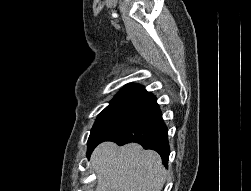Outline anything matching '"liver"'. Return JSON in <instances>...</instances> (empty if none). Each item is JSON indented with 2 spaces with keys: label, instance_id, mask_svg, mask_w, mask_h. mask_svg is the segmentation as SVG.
Here are the masks:
<instances>
[{
  "label": "liver",
  "instance_id": "liver-1",
  "mask_svg": "<svg viewBox=\"0 0 251 191\" xmlns=\"http://www.w3.org/2000/svg\"><path fill=\"white\" fill-rule=\"evenodd\" d=\"M91 165L97 175L95 191H161L166 177L160 155L139 143L118 147L104 141L95 147Z\"/></svg>",
  "mask_w": 251,
  "mask_h": 191
}]
</instances>
